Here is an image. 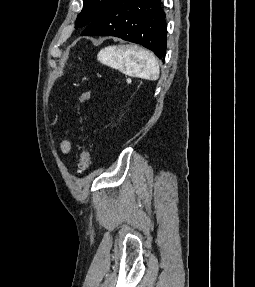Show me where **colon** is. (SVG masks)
I'll return each mask as SVG.
<instances>
[{
  "instance_id": "5ec220e1",
  "label": "colon",
  "mask_w": 255,
  "mask_h": 287,
  "mask_svg": "<svg viewBox=\"0 0 255 287\" xmlns=\"http://www.w3.org/2000/svg\"><path fill=\"white\" fill-rule=\"evenodd\" d=\"M91 96L90 91H84L81 93L79 99L81 103H86L89 98ZM91 163V153H90V147L88 144H84L81 151H80V155H79V170L82 173L87 172V170L89 169Z\"/></svg>"
}]
</instances>
